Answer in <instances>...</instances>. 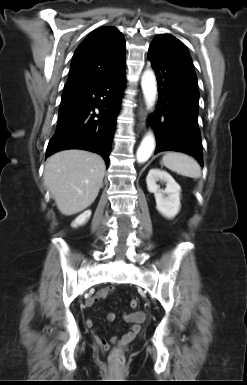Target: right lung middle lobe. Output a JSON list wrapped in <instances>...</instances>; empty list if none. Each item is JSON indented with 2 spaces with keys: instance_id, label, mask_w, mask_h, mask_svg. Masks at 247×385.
Here are the masks:
<instances>
[{
  "instance_id": "right-lung-middle-lobe-1",
  "label": "right lung middle lobe",
  "mask_w": 247,
  "mask_h": 385,
  "mask_svg": "<svg viewBox=\"0 0 247 385\" xmlns=\"http://www.w3.org/2000/svg\"><path fill=\"white\" fill-rule=\"evenodd\" d=\"M71 94H73V93L72 92H63L62 99L69 97Z\"/></svg>"
}]
</instances>
